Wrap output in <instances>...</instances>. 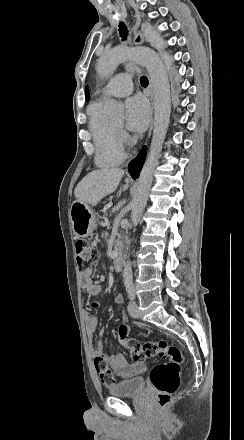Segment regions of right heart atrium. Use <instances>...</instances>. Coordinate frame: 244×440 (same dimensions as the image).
Masks as SVG:
<instances>
[{"mask_svg":"<svg viewBox=\"0 0 244 440\" xmlns=\"http://www.w3.org/2000/svg\"><path fill=\"white\" fill-rule=\"evenodd\" d=\"M128 139H129V136L123 129L116 130L115 136L113 137V139L111 141V145L118 147V146L126 143L128 141Z\"/></svg>","mask_w":244,"mask_h":440,"instance_id":"d8ad5b80","label":"right heart atrium"}]
</instances>
